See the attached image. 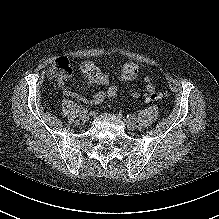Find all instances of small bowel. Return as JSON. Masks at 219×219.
Segmentation results:
<instances>
[{
    "label": "small bowel",
    "instance_id": "c3829d8e",
    "mask_svg": "<svg viewBox=\"0 0 219 219\" xmlns=\"http://www.w3.org/2000/svg\"><path fill=\"white\" fill-rule=\"evenodd\" d=\"M81 72L86 80V83L88 85H101L97 80H96V74L101 73L100 69L92 62H85L81 65L80 67ZM93 69V71H92ZM138 77V74L136 73L135 75L125 78L122 75V78L125 80H132ZM143 81L145 83V90L146 92H151L154 90V86L152 83V80L150 77L148 76H144L143 77ZM62 88V92L65 96L70 97L72 99L84 102L86 104L89 105H96L99 104L100 102H102L105 98V93L104 92H97L94 95L90 96V97H85L82 96L78 93L73 92L69 87L65 86V85H61ZM134 97H138L139 94L138 93H134L133 94Z\"/></svg>",
    "mask_w": 219,
    "mask_h": 219
}]
</instances>
